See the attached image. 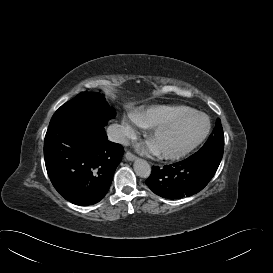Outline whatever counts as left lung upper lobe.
Instances as JSON below:
<instances>
[{"instance_id": "obj_1", "label": "left lung upper lobe", "mask_w": 273, "mask_h": 273, "mask_svg": "<svg viewBox=\"0 0 273 273\" xmlns=\"http://www.w3.org/2000/svg\"><path fill=\"white\" fill-rule=\"evenodd\" d=\"M223 150L224 133L221 126V120L218 119L216 126L206 143L201 147L199 151H197L190 157L207 159L219 165L223 156Z\"/></svg>"}]
</instances>
